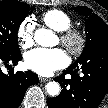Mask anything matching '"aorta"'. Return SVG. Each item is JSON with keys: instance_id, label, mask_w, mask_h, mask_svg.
Returning <instances> with one entry per match:
<instances>
[{"instance_id": "obj_1", "label": "aorta", "mask_w": 108, "mask_h": 108, "mask_svg": "<svg viewBox=\"0 0 108 108\" xmlns=\"http://www.w3.org/2000/svg\"><path fill=\"white\" fill-rule=\"evenodd\" d=\"M55 38L56 35L51 30L43 28L37 29L34 34L35 42L43 47L52 46ZM46 90L50 96H57L60 93V85L55 81L49 82Z\"/></svg>"}]
</instances>
